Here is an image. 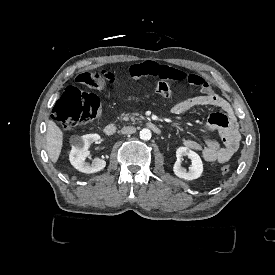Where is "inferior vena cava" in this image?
<instances>
[{"instance_id":"1","label":"inferior vena cava","mask_w":275,"mask_h":275,"mask_svg":"<svg viewBox=\"0 0 275 275\" xmlns=\"http://www.w3.org/2000/svg\"><path fill=\"white\" fill-rule=\"evenodd\" d=\"M136 132V128L133 127V126H127V127H123L121 130H120V133L121 134H133Z\"/></svg>"}]
</instances>
